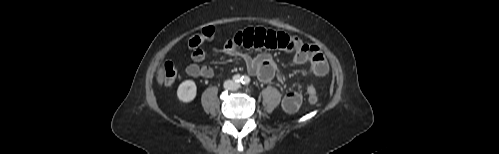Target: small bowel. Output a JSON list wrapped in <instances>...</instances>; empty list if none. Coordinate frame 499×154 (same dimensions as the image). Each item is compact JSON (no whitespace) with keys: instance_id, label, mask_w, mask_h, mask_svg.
<instances>
[{"instance_id":"small-bowel-1","label":"small bowel","mask_w":499,"mask_h":154,"mask_svg":"<svg viewBox=\"0 0 499 154\" xmlns=\"http://www.w3.org/2000/svg\"><path fill=\"white\" fill-rule=\"evenodd\" d=\"M277 49L289 53L295 64L309 63L317 77H324L329 71L328 62L319 47L304 43L300 38L289 36L282 32H275L265 28H246L237 32L228 39L221 51L230 56H237L243 60L248 72L263 82H270L275 74V64L271 55L264 51L256 57H251L240 51V48ZM192 63L186 68L188 76L196 78H212L213 69L208 65H200L205 59V51L195 49L191 54ZM282 108L293 114L302 105L299 92L287 93L282 99Z\"/></svg>"}]
</instances>
